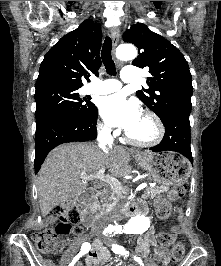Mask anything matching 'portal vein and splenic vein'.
<instances>
[{
	"label": "portal vein and splenic vein",
	"instance_id": "portal-vein-and-splenic-vein-1",
	"mask_svg": "<svg viewBox=\"0 0 221 266\" xmlns=\"http://www.w3.org/2000/svg\"><path fill=\"white\" fill-rule=\"evenodd\" d=\"M105 168L100 169L96 174H90V175H82L81 179L86 181L90 179H99L100 181L106 182L110 184L113 187L121 188V183L115 178L110 175H105ZM150 187H155L154 184L149 185Z\"/></svg>",
	"mask_w": 221,
	"mask_h": 266
}]
</instances>
